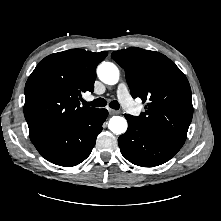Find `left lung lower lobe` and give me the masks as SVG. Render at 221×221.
<instances>
[{
    "label": "left lung lower lobe",
    "mask_w": 221,
    "mask_h": 221,
    "mask_svg": "<svg viewBox=\"0 0 221 221\" xmlns=\"http://www.w3.org/2000/svg\"><path fill=\"white\" fill-rule=\"evenodd\" d=\"M127 131L118 138L122 155L131 163L142 167L161 165L170 160L183 146L161 137L146 128L141 121L125 114Z\"/></svg>",
    "instance_id": "0a47b994"
}]
</instances>
